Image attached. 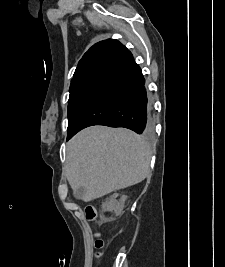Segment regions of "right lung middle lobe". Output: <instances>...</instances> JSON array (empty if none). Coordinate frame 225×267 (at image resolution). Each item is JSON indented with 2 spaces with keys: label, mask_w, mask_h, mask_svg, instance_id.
<instances>
[{
  "label": "right lung middle lobe",
  "mask_w": 225,
  "mask_h": 267,
  "mask_svg": "<svg viewBox=\"0 0 225 267\" xmlns=\"http://www.w3.org/2000/svg\"><path fill=\"white\" fill-rule=\"evenodd\" d=\"M99 79L100 76H92L70 85L67 138L73 132L74 121L84 99Z\"/></svg>",
  "instance_id": "1"
}]
</instances>
